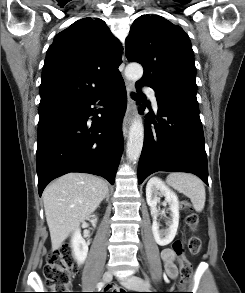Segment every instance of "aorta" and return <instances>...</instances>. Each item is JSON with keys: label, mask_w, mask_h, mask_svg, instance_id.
I'll use <instances>...</instances> for the list:
<instances>
[{"label": "aorta", "mask_w": 245, "mask_h": 293, "mask_svg": "<svg viewBox=\"0 0 245 293\" xmlns=\"http://www.w3.org/2000/svg\"><path fill=\"white\" fill-rule=\"evenodd\" d=\"M125 76L132 81H138L143 76V68L138 63H130L125 68ZM144 141V126L139 119H135L129 130L127 142V157L131 161H136L141 154Z\"/></svg>", "instance_id": "762f6f07"}]
</instances>
